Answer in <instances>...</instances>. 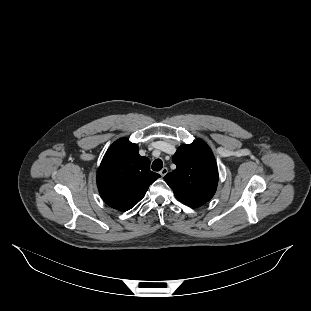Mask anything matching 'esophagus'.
Instances as JSON below:
<instances>
[{"instance_id": "1", "label": "esophagus", "mask_w": 311, "mask_h": 311, "mask_svg": "<svg viewBox=\"0 0 311 311\" xmlns=\"http://www.w3.org/2000/svg\"><path fill=\"white\" fill-rule=\"evenodd\" d=\"M167 172H168V168L167 167H163L159 173L163 177V176H165L167 174Z\"/></svg>"}]
</instances>
